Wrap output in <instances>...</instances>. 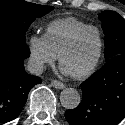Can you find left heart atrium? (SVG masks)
<instances>
[{
	"instance_id": "obj_1",
	"label": "left heart atrium",
	"mask_w": 125,
	"mask_h": 125,
	"mask_svg": "<svg viewBox=\"0 0 125 125\" xmlns=\"http://www.w3.org/2000/svg\"><path fill=\"white\" fill-rule=\"evenodd\" d=\"M61 71H62V73H64V74H69L68 71H67L63 66L61 67Z\"/></svg>"
}]
</instances>
